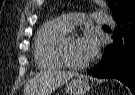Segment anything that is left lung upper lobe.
<instances>
[{
  "mask_svg": "<svg viewBox=\"0 0 135 95\" xmlns=\"http://www.w3.org/2000/svg\"><path fill=\"white\" fill-rule=\"evenodd\" d=\"M114 19H119L135 9V0H108Z\"/></svg>",
  "mask_w": 135,
  "mask_h": 95,
  "instance_id": "5c2ea615",
  "label": "left lung upper lobe"
}]
</instances>
